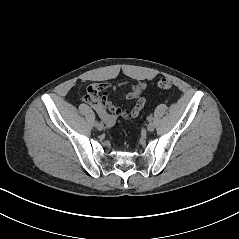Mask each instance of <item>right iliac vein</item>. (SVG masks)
I'll use <instances>...</instances> for the list:
<instances>
[{
    "label": "right iliac vein",
    "mask_w": 239,
    "mask_h": 239,
    "mask_svg": "<svg viewBox=\"0 0 239 239\" xmlns=\"http://www.w3.org/2000/svg\"><path fill=\"white\" fill-rule=\"evenodd\" d=\"M96 128L101 131L103 129V124L99 123L98 125H96Z\"/></svg>",
    "instance_id": "1"
}]
</instances>
